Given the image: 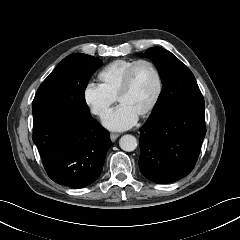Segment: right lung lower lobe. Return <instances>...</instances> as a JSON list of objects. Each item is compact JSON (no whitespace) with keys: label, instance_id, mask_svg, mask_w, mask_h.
<instances>
[{"label":"right lung lower lobe","instance_id":"right-lung-lower-lobe-1","mask_svg":"<svg viewBox=\"0 0 240 240\" xmlns=\"http://www.w3.org/2000/svg\"><path fill=\"white\" fill-rule=\"evenodd\" d=\"M32 113L33 142L49 177L71 188L96 181L112 144L109 132L78 109L39 106Z\"/></svg>","mask_w":240,"mask_h":240}]
</instances>
